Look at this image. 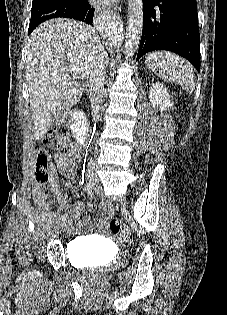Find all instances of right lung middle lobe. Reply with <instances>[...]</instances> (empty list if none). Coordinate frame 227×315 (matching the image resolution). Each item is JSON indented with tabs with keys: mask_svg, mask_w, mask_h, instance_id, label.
Masks as SVG:
<instances>
[{
	"mask_svg": "<svg viewBox=\"0 0 227 315\" xmlns=\"http://www.w3.org/2000/svg\"><path fill=\"white\" fill-rule=\"evenodd\" d=\"M78 1L80 0H33L28 34L48 19L63 17L65 10Z\"/></svg>",
	"mask_w": 227,
	"mask_h": 315,
	"instance_id": "obj_1",
	"label": "right lung middle lobe"
}]
</instances>
